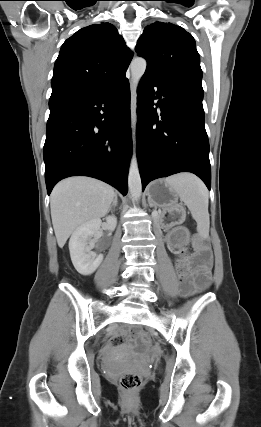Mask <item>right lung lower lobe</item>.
Instances as JSON below:
<instances>
[{"label":"right lung lower lobe","mask_w":261,"mask_h":427,"mask_svg":"<svg viewBox=\"0 0 261 427\" xmlns=\"http://www.w3.org/2000/svg\"><path fill=\"white\" fill-rule=\"evenodd\" d=\"M131 152L126 77L97 94L51 108L43 150L48 195L58 181L75 175L103 180L126 195Z\"/></svg>","instance_id":"right-lung-lower-lobe-1"}]
</instances>
